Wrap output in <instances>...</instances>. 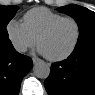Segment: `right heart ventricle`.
Masks as SVG:
<instances>
[{
    "instance_id": "right-heart-ventricle-1",
    "label": "right heart ventricle",
    "mask_w": 95,
    "mask_h": 95,
    "mask_svg": "<svg viewBox=\"0 0 95 95\" xmlns=\"http://www.w3.org/2000/svg\"><path fill=\"white\" fill-rule=\"evenodd\" d=\"M64 16L44 7H37L27 11L23 16V24L32 37L38 35L51 23Z\"/></svg>"
}]
</instances>
